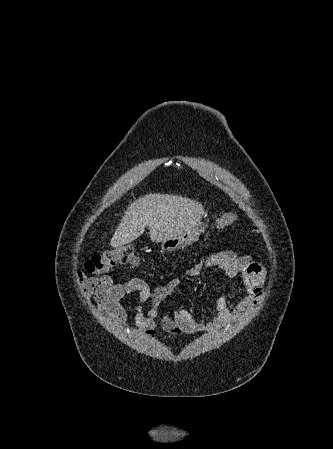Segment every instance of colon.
I'll use <instances>...</instances> for the list:
<instances>
[{"mask_svg":"<svg viewBox=\"0 0 333 449\" xmlns=\"http://www.w3.org/2000/svg\"><path fill=\"white\" fill-rule=\"evenodd\" d=\"M237 220V214L230 212L223 214L215 222V228L220 229L231 225ZM139 263V257L133 247L123 245L103 253L94 255L86 262L87 272L105 273L119 264L134 266Z\"/></svg>","mask_w":333,"mask_h":449,"instance_id":"colon-1","label":"colon"}]
</instances>
